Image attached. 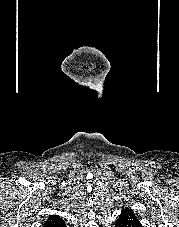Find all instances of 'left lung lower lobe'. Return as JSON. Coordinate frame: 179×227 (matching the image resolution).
I'll use <instances>...</instances> for the list:
<instances>
[{
  "instance_id": "left-lung-lower-lobe-1",
  "label": "left lung lower lobe",
  "mask_w": 179,
  "mask_h": 227,
  "mask_svg": "<svg viewBox=\"0 0 179 227\" xmlns=\"http://www.w3.org/2000/svg\"><path fill=\"white\" fill-rule=\"evenodd\" d=\"M116 227H117V225H116ZM137 227H140V225H137Z\"/></svg>"
}]
</instances>
